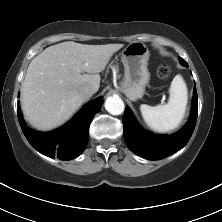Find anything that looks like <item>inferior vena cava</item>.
I'll return each instance as SVG.
<instances>
[{
    "mask_svg": "<svg viewBox=\"0 0 222 222\" xmlns=\"http://www.w3.org/2000/svg\"><path fill=\"white\" fill-rule=\"evenodd\" d=\"M80 95L85 99L91 97L95 92V88L91 85H84L79 89Z\"/></svg>",
    "mask_w": 222,
    "mask_h": 222,
    "instance_id": "inferior-vena-cava-1",
    "label": "inferior vena cava"
}]
</instances>
